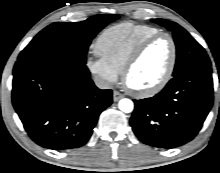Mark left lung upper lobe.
Listing matches in <instances>:
<instances>
[{
  "mask_svg": "<svg viewBox=\"0 0 220 173\" xmlns=\"http://www.w3.org/2000/svg\"><path fill=\"white\" fill-rule=\"evenodd\" d=\"M153 22L172 31L176 44L177 59L173 76L202 67H211V63L204 48L180 25L170 23L164 19H153Z\"/></svg>",
  "mask_w": 220,
  "mask_h": 173,
  "instance_id": "left-lung-upper-lobe-1",
  "label": "left lung upper lobe"
}]
</instances>
